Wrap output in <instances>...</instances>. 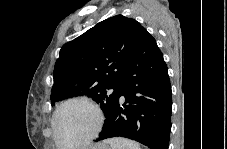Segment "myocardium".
I'll use <instances>...</instances> for the list:
<instances>
[{
    "mask_svg": "<svg viewBox=\"0 0 227 149\" xmlns=\"http://www.w3.org/2000/svg\"><path fill=\"white\" fill-rule=\"evenodd\" d=\"M71 104H82V105L89 107L95 115V125H94L91 133L83 140L76 142V143H72V144H62V143H60V141L58 139V135H57V124H56L57 117L63 108H65ZM103 123H104L103 112H102L101 108L95 102H93L87 98H82V97L68 99V100L62 102L56 108V110L52 116L51 126H52V136H53L54 143L56 146L71 147V148L87 146L99 135V133L102 129Z\"/></svg>",
    "mask_w": 227,
    "mask_h": 149,
    "instance_id": "f54148a6",
    "label": "myocardium"
}]
</instances>
